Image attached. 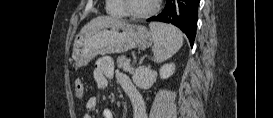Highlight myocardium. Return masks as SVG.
<instances>
[{
  "instance_id": "1",
  "label": "myocardium",
  "mask_w": 273,
  "mask_h": 118,
  "mask_svg": "<svg viewBox=\"0 0 273 118\" xmlns=\"http://www.w3.org/2000/svg\"><path fill=\"white\" fill-rule=\"evenodd\" d=\"M126 15L135 19H146L153 16L159 9V0H154L150 9L144 12H135L130 9L129 0H122Z\"/></svg>"
}]
</instances>
